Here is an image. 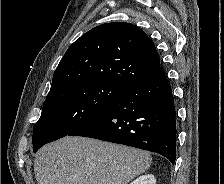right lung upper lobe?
<instances>
[{
    "instance_id": "right-lung-upper-lobe-1",
    "label": "right lung upper lobe",
    "mask_w": 224,
    "mask_h": 184,
    "mask_svg": "<svg viewBox=\"0 0 224 184\" xmlns=\"http://www.w3.org/2000/svg\"><path fill=\"white\" fill-rule=\"evenodd\" d=\"M163 75L155 44L142 29L125 22L106 23L89 30L68 48L46 98L87 81L130 86Z\"/></svg>"
}]
</instances>
